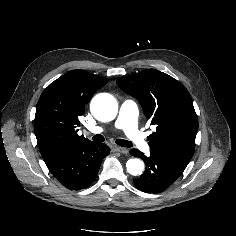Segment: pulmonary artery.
I'll return each mask as SVG.
<instances>
[{
  "instance_id": "1",
  "label": "pulmonary artery",
  "mask_w": 236,
  "mask_h": 236,
  "mask_svg": "<svg viewBox=\"0 0 236 236\" xmlns=\"http://www.w3.org/2000/svg\"><path fill=\"white\" fill-rule=\"evenodd\" d=\"M138 107L132 100H126L122 103L115 127L125 132L130 141L140 150L149 152L150 147L145 139V135L138 129ZM89 131L99 134L104 131L102 127H90Z\"/></svg>"
}]
</instances>
